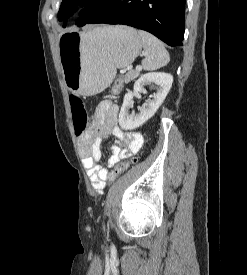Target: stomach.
<instances>
[{
	"mask_svg": "<svg viewBox=\"0 0 247 275\" xmlns=\"http://www.w3.org/2000/svg\"><path fill=\"white\" fill-rule=\"evenodd\" d=\"M142 49L137 31L127 26H99L87 32H67L59 38V57L67 88L78 95L102 92L117 69L133 63Z\"/></svg>",
	"mask_w": 247,
	"mask_h": 275,
	"instance_id": "0dacf381",
	"label": "stomach"
}]
</instances>
